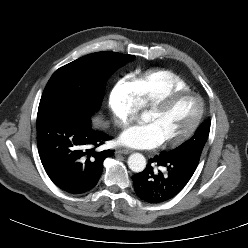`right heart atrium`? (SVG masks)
<instances>
[{"mask_svg": "<svg viewBox=\"0 0 248 248\" xmlns=\"http://www.w3.org/2000/svg\"><path fill=\"white\" fill-rule=\"evenodd\" d=\"M108 107L114 123L120 128L128 127L137 117L140 106L125 81L115 84L108 96Z\"/></svg>", "mask_w": 248, "mask_h": 248, "instance_id": "1", "label": "right heart atrium"}]
</instances>
